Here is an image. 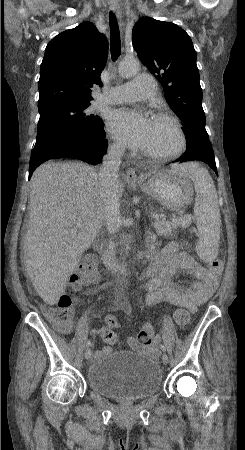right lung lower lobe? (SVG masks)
<instances>
[{
    "label": "right lung lower lobe",
    "mask_w": 245,
    "mask_h": 450,
    "mask_svg": "<svg viewBox=\"0 0 245 450\" xmlns=\"http://www.w3.org/2000/svg\"><path fill=\"white\" fill-rule=\"evenodd\" d=\"M107 148L103 126L95 141L66 143L42 152H33L29 164V179L33 171L41 163L54 158L69 157L98 164L102 161L103 153Z\"/></svg>",
    "instance_id": "1"
}]
</instances>
